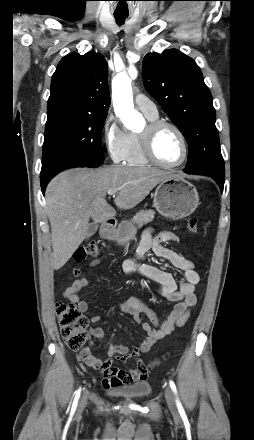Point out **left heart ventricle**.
I'll list each match as a JSON object with an SVG mask.
<instances>
[{"mask_svg": "<svg viewBox=\"0 0 254 440\" xmlns=\"http://www.w3.org/2000/svg\"><path fill=\"white\" fill-rule=\"evenodd\" d=\"M156 154L167 164H176L183 156V146L179 136L170 128H163L155 141Z\"/></svg>", "mask_w": 254, "mask_h": 440, "instance_id": "left-heart-ventricle-1", "label": "left heart ventricle"}]
</instances>
